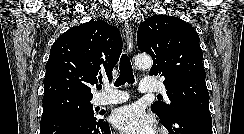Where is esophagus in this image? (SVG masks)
<instances>
[{"label":"esophagus","mask_w":244,"mask_h":134,"mask_svg":"<svg viewBox=\"0 0 244 134\" xmlns=\"http://www.w3.org/2000/svg\"><path fill=\"white\" fill-rule=\"evenodd\" d=\"M124 31H125V37H126V44H127V51L128 53H132L133 47H134V37H133V31L129 23L124 24Z\"/></svg>","instance_id":"esophagus-1"}]
</instances>
